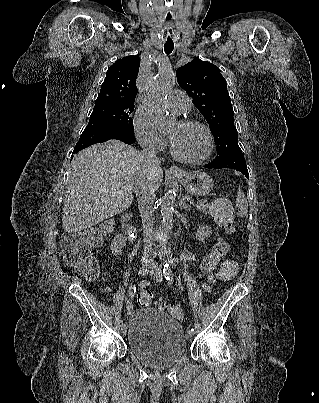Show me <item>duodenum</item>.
Returning a JSON list of instances; mask_svg holds the SVG:
<instances>
[{"label":"duodenum","instance_id":"1","mask_svg":"<svg viewBox=\"0 0 319 403\" xmlns=\"http://www.w3.org/2000/svg\"><path fill=\"white\" fill-rule=\"evenodd\" d=\"M131 213L130 212H125L122 216V223H123V229L125 233L128 235L130 242L136 247L137 246V230L136 228L131 224Z\"/></svg>","mask_w":319,"mask_h":403}]
</instances>
